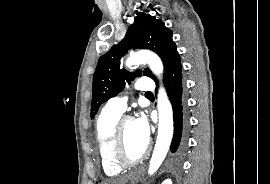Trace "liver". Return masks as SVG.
Listing matches in <instances>:
<instances>
[{
	"label": "liver",
	"mask_w": 270,
	"mask_h": 184,
	"mask_svg": "<svg viewBox=\"0 0 270 184\" xmlns=\"http://www.w3.org/2000/svg\"><path fill=\"white\" fill-rule=\"evenodd\" d=\"M125 182L126 179H121V180L107 181L104 184H124Z\"/></svg>",
	"instance_id": "liver-1"
}]
</instances>
